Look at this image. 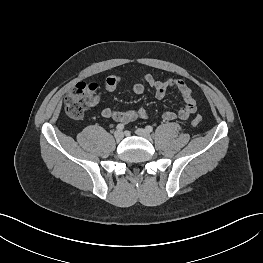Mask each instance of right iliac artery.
<instances>
[{"instance_id":"right-iliac-artery-1","label":"right iliac artery","mask_w":263,"mask_h":263,"mask_svg":"<svg viewBox=\"0 0 263 263\" xmlns=\"http://www.w3.org/2000/svg\"><path fill=\"white\" fill-rule=\"evenodd\" d=\"M116 129L117 130H119V131H122L123 129H124V124H118L117 126H116Z\"/></svg>"}]
</instances>
